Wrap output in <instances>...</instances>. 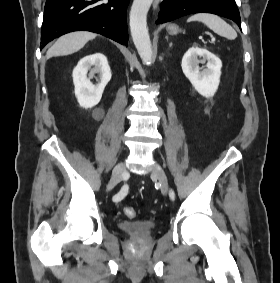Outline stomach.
<instances>
[{
    "instance_id": "1",
    "label": "stomach",
    "mask_w": 280,
    "mask_h": 283,
    "mask_svg": "<svg viewBox=\"0 0 280 283\" xmlns=\"http://www.w3.org/2000/svg\"><path fill=\"white\" fill-rule=\"evenodd\" d=\"M167 31L171 35H176L181 32V29L176 24H170L167 26Z\"/></svg>"
}]
</instances>
